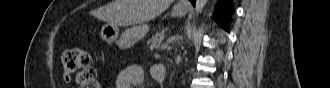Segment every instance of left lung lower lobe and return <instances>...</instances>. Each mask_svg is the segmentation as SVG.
Returning a JSON list of instances; mask_svg holds the SVG:
<instances>
[{
  "instance_id": "0a47b994",
  "label": "left lung lower lobe",
  "mask_w": 330,
  "mask_h": 88,
  "mask_svg": "<svg viewBox=\"0 0 330 88\" xmlns=\"http://www.w3.org/2000/svg\"><path fill=\"white\" fill-rule=\"evenodd\" d=\"M195 6V0H190ZM219 13L216 15V19L224 29H227L226 24L230 19V15L233 11L232 6L228 3V0H220L218 4Z\"/></svg>"
}]
</instances>
